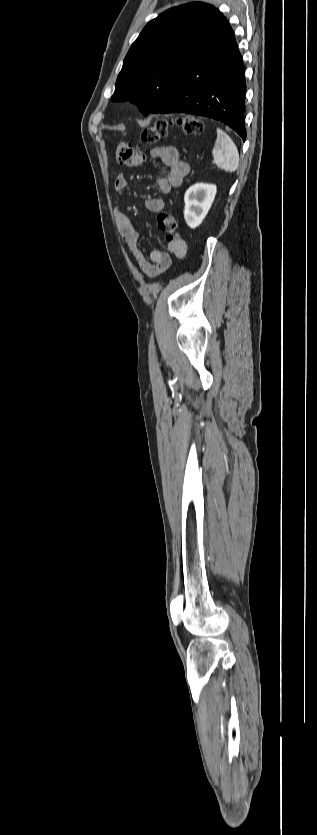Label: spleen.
<instances>
[{"label": "spleen", "instance_id": "3e777b00", "mask_svg": "<svg viewBox=\"0 0 317 835\" xmlns=\"http://www.w3.org/2000/svg\"><path fill=\"white\" fill-rule=\"evenodd\" d=\"M212 155L215 165L225 172H235L239 166V153L233 140L220 128H217Z\"/></svg>", "mask_w": 317, "mask_h": 835}]
</instances>
